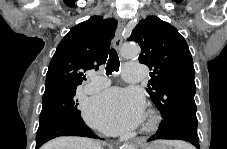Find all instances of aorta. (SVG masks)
Returning a JSON list of instances; mask_svg holds the SVG:
<instances>
[{"instance_id":"1","label":"aorta","mask_w":227,"mask_h":149,"mask_svg":"<svg viewBox=\"0 0 227 149\" xmlns=\"http://www.w3.org/2000/svg\"><path fill=\"white\" fill-rule=\"evenodd\" d=\"M140 52V48L136 45H126L122 49V55L126 59L136 57ZM124 149H134L132 145L126 144Z\"/></svg>"}]
</instances>
